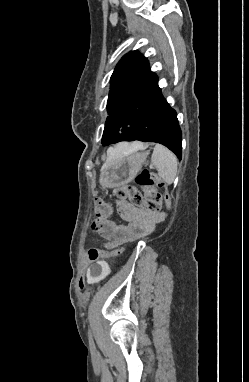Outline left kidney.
Returning a JSON list of instances; mask_svg holds the SVG:
<instances>
[{
    "instance_id": "5707ae66",
    "label": "left kidney",
    "mask_w": 249,
    "mask_h": 382,
    "mask_svg": "<svg viewBox=\"0 0 249 382\" xmlns=\"http://www.w3.org/2000/svg\"><path fill=\"white\" fill-rule=\"evenodd\" d=\"M99 266L103 267L102 270H88L87 271V277L85 280L88 283L91 284H104L105 280H107V276H109V267L108 266V261L107 260H100Z\"/></svg>"
}]
</instances>
